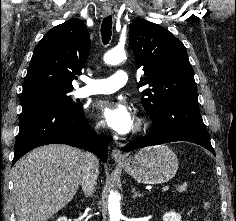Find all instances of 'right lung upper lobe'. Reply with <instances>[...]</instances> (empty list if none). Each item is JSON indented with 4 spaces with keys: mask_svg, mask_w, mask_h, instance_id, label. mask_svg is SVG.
Returning <instances> with one entry per match:
<instances>
[{
    "mask_svg": "<svg viewBox=\"0 0 236 221\" xmlns=\"http://www.w3.org/2000/svg\"><path fill=\"white\" fill-rule=\"evenodd\" d=\"M90 46L81 20L55 26L35 47L21 94L45 88L72 90V80L81 74Z\"/></svg>",
    "mask_w": 236,
    "mask_h": 221,
    "instance_id": "right-lung-upper-lobe-1",
    "label": "right lung upper lobe"
}]
</instances>
